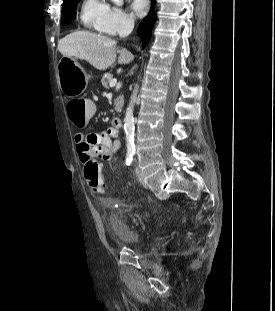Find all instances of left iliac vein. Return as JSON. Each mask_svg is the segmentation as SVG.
Masks as SVG:
<instances>
[{"instance_id": "left-iliac-vein-1", "label": "left iliac vein", "mask_w": 275, "mask_h": 311, "mask_svg": "<svg viewBox=\"0 0 275 311\" xmlns=\"http://www.w3.org/2000/svg\"><path fill=\"white\" fill-rule=\"evenodd\" d=\"M135 172H136V177L138 179V181L142 184V185H145V182H144V179H143V176L141 174V171L139 169V167H136L135 168Z\"/></svg>"}]
</instances>
